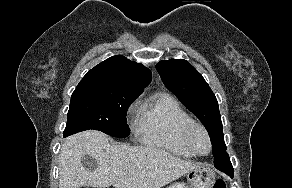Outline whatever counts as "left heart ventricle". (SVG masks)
<instances>
[{"mask_svg": "<svg viewBox=\"0 0 292 188\" xmlns=\"http://www.w3.org/2000/svg\"><path fill=\"white\" fill-rule=\"evenodd\" d=\"M192 143L196 150L200 153H206L209 149V144L206 136L200 130H195L192 134Z\"/></svg>", "mask_w": 292, "mask_h": 188, "instance_id": "1", "label": "left heart ventricle"}]
</instances>
